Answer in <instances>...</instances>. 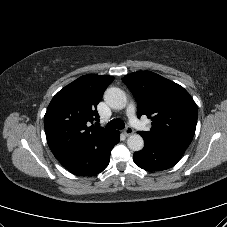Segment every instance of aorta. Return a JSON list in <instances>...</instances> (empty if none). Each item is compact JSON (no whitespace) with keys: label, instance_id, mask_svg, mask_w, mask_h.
Returning a JSON list of instances; mask_svg holds the SVG:
<instances>
[{"label":"aorta","instance_id":"762f6f07","mask_svg":"<svg viewBox=\"0 0 227 227\" xmlns=\"http://www.w3.org/2000/svg\"><path fill=\"white\" fill-rule=\"evenodd\" d=\"M104 100L106 104L117 110H121L127 105V97L124 91L119 88H108L104 93ZM127 145L132 151H140L144 146V140L139 134H132L127 139Z\"/></svg>","mask_w":227,"mask_h":227}]
</instances>
